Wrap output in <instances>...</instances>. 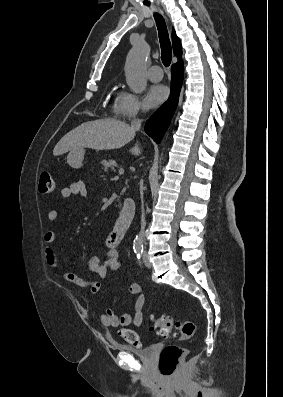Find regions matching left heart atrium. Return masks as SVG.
I'll use <instances>...</instances> for the list:
<instances>
[{
    "label": "left heart atrium",
    "instance_id": "left-heart-atrium-1",
    "mask_svg": "<svg viewBox=\"0 0 283 397\" xmlns=\"http://www.w3.org/2000/svg\"><path fill=\"white\" fill-rule=\"evenodd\" d=\"M167 96V87L160 84L153 85L145 95V105L147 108H156L166 100Z\"/></svg>",
    "mask_w": 283,
    "mask_h": 397
}]
</instances>
